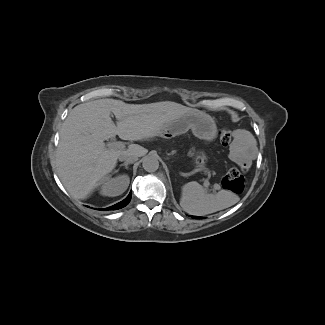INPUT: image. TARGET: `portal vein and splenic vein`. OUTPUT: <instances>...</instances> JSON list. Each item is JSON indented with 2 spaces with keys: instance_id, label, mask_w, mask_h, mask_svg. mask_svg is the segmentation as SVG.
I'll return each mask as SVG.
<instances>
[{
  "instance_id": "1",
  "label": "portal vein and splenic vein",
  "mask_w": 325,
  "mask_h": 325,
  "mask_svg": "<svg viewBox=\"0 0 325 325\" xmlns=\"http://www.w3.org/2000/svg\"><path fill=\"white\" fill-rule=\"evenodd\" d=\"M107 146L109 148H118V149H123L124 148V144L122 142H111V143H108ZM210 185L209 181L206 179L204 181V186L206 188H208ZM214 188L216 189V186H214Z\"/></svg>"
}]
</instances>
